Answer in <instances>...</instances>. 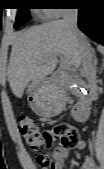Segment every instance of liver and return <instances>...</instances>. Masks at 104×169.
<instances>
[{
	"label": "liver",
	"mask_w": 104,
	"mask_h": 169,
	"mask_svg": "<svg viewBox=\"0 0 104 169\" xmlns=\"http://www.w3.org/2000/svg\"><path fill=\"white\" fill-rule=\"evenodd\" d=\"M58 55L76 68L81 65L79 42L63 20H54L20 33L13 42L7 70L13 94L21 98L26 88L27 93H31L54 71Z\"/></svg>",
	"instance_id": "liver-1"
}]
</instances>
